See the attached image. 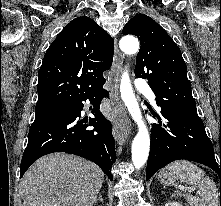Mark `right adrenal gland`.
Here are the masks:
<instances>
[{
  "mask_svg": "<svg viewBox=\"0 0 221 206\" xmlns=\"http://www.w3.org/2000/svg\"><path fill=\"white\" fill-rule=\"evenodd\" d=\"M98 201H100V202H102V203L104 202L101 193H99V197H98V199H96L95 203H97Z\"/></svg>",
  "mask_w": 221,
  "mask_h": 206,
  "instance_id": "right-adrenal-gland-1",
  "label": "right adrenal gland"
}]
</instances>
